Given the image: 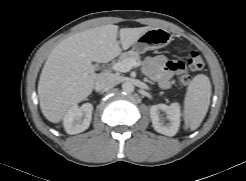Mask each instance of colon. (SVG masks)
<instances>
[{
	"mask_svg": "<svg viewBox=\"0 0 246 181\" xmlns=\"http://www.w3.org/2000/svg\"><path fill=\"white\" fill-rule=\"evenodd\" d=\"M183 50L187 54V64L189 68L193 71H203L205 68V64L201 54L188 46L185 47ZM190 81V75L187 72L182 71L179 75V82L182 85L187 86L190 83Z\"/></svg>",
	"mask_w": 246,
	"mask_h": 181,
	"instance_id": "1",
	"label": "colon"
}]
</instances>
